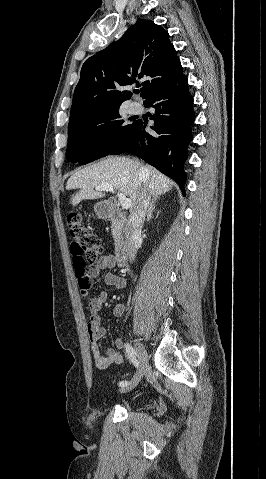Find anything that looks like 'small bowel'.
<instances>
[{"instance_id":"small-bowel-1","label":"small bowel","mask_w":266,"mask_h":479,"mask_svg":"<svg viewBox=\"0 0 266 479\" xmlns=\"http://www.w3.org/2000/svg\"><path fill=\"white\" fill-rule=\"evenodd\" d=\"M115 266V260L111 255H103L96 265L91 267L88 274L92 278L99 277L107 269ZM103 281L106 285L116 289H123L126 286V280L120 275L113 273H104L102 275ZM107 301V292L101 290L92 298L89 303L90 319L87 324V333L90 342L91 354L95 366L99 369H106L112 365L120 364L123 360L121 349L123 342L120 338L115 339V349H109L105 355L101 353L99 341L105 336L106 330L101 324L100 311L103 309ZM125 312L123 304H117L113 308V315L115 317H122Z\"/></svg>"}]
</instances>
